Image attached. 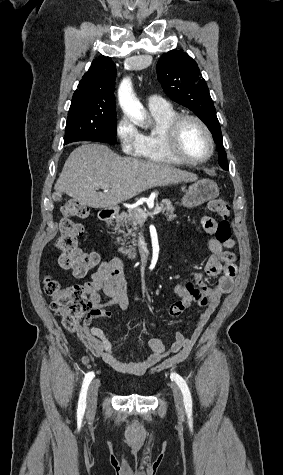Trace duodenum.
<instances>
[{
	"label": "duodenum",
	"mask_w": 283,
	"mask_h": 475,
	"mask_svg": "<svg viewBox=\"0 0 283 475\" xmlns=\"http://www.w3.org/2000/svg\"><path fill=\"white\" fill-rule=\"evenodd\" d=\"M114 211L111 209H103L99 213V219L103 222H110L114 218Z\"/></svg>",
	"instance_id": "duodenum-1"
}]
</instances>
